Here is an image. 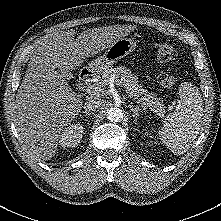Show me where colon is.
<instances>
[{"label": "colon", "mask_w": 221, "mask_h": 221, "mask_svg": "<svg viewBox=\"0 0 221 221\" xmlns=\"http://www.w3.org/2000/svg\"><path fill=\"white\" fill-rule=\"evenodd\" d=\"M156 53L157 59L162 64L172 63L177 58V52L175 48L162 41H156ZM176 79L173 75L164 73L159 77L160 86L164 89H171L175 85Z\"/></svg>", "instance_id": "5ec220e1"}]
</instances>
